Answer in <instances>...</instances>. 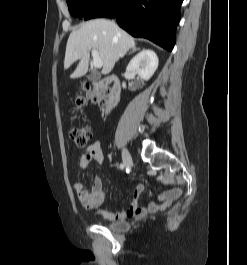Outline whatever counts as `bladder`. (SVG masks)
Returning a JSON list of instances; mask_svg holds the SVG:
<instances>
[{"instance_id":"31cf9c89","label":"bladder","mask_w":247,"mask_h":265,"mask_svg":"<svg viewBox=\"0 0 247 265\" xmlns=\"http://www.w3.org/2000/svg\"><path fill=\"white\" fill-rule=\"evenodd\" d=\"M106 227L114 231L123 232L128 230L130 225L127 221H113L108 223Z\"/></svg>"}]
</instances>
